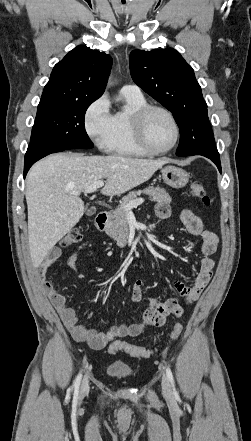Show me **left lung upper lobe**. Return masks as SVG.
I'll use <instances>...</instances> for the list:
<instances>
[{"instance_id":"obj_1","label":"left lung upper lobe","mask_w":251,"mask_h":441,"mask_svg":"<svg viewBox=\"0 0 251 441\" xmlns=\"http://www.w3.org/2000/svg\"><path fill=\"white\" fill-rule=\"evenodd\" d=\"M134 82L173 114L180 132L207 121V104L194 71L173 48L130 53Z\"/></svg>"}]
</instances>
